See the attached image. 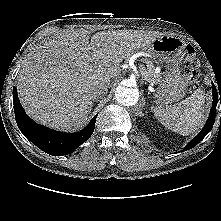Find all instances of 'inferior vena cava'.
<instances>
[{
	"instance_id": "obj_1",
	"label": "inferior vena cava",
	"mask_w": 221,
	"mask_h": 221,
	"mask_svg": "<svg viewBox=\"0 0 221 221\" xmlns=\"http://www.w3.org/2000/svg\"><path fill=\"white\" fill-rule=\"evenodd\" d=\"M108 92V88L107 86H102L98 89L95 90V92L93 93V99H100L103 98Z\"/></svg>"
}]
</instances>
